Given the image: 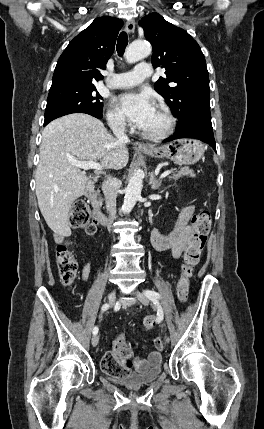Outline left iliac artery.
I'll use <instances>...</instances> for the list:
<instances>
[{
  "mask_svg": "<svg viewBox=\"0 0 264 429\" xmlns=\"http://www.w3.org/2000/svg\"><path fill=\"white\" fill-rule=\"evenodd\" d=\"M146 291H150L151 293H153V292H155V293H157L156 291H152V290H144V293L146 292ZM157 297L160 299L161 298V295L159 294V293H157Z\"/></svg>",
  "mask_w": 264,
  "mask_h": 429,
  "instance_id": "obj_1",
  "label": "left iliac artery"
}]
</instances>
